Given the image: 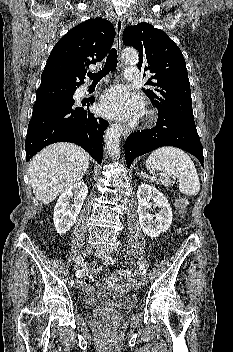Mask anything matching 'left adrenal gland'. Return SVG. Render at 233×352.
<instances>
[{
  "mask_svg": "<svg viewBox=\"0 0 233 352\" xmlns=\"http://www.w3.org/2000/svg\"><path fill=\"white\" fill-rule=\"evenodd\" d=\"M137 175H140V176H143V177H144V173H143V172L137 173Z\"/></svg>",
  "mask_w": 233,
  "mask_h": 352,
  "instance_id": "a2214340",
  "label": "left adrenal gland"
}]
</instances>
